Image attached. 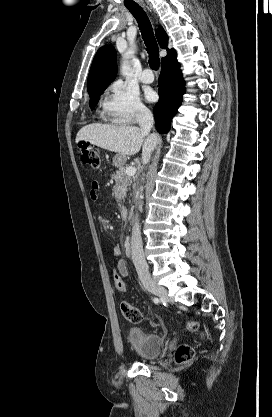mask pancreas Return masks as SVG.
<instances>
[{
    "mask_svg": "<svg viewBox=\"0 0 272 417\" xmlns=\"http://www.w3.org/2000/svg\"><path fill=\"white\" fill-rule=\"evenodd\" d=\"M126 167H120L116 173L112 174V179L115 180L113 188L114 196L118 204H122L126 198L128 187L131 186L133 180L131 176L125 173Z\"/></svg>",
    "mask_w": 272,
    "mask_h": 417,
    "instance_id": "cf45deb5",
    "label": "pancreas"
}]
</instances>
